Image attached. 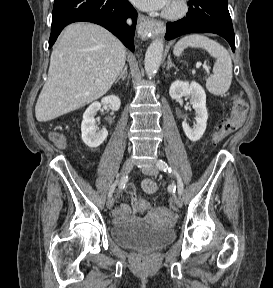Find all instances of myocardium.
I'll return each instance as SVG.
<instances>
[{
  "instance_id": "1",
  "label": "myocardium",
  "mask_w": 273,
  "mask_h": 288,
  "mask_svg": "<svg viewBox=\"0 0 273 288\" xmlns=\"http://www.w3.org/2000/svg\"><path fill=\"white\" fill-rule=\"evenodd\" d=\"M173 6H170V4ZM163 12V17L170 20H177L184 17L189 10L188 0H172Z\"/></svg>"
}]
</instances>
